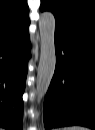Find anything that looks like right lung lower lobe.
<instances>
[{
	"label": "right lung lower lobe",
	"instance_id": "98d812e1",
	"mask_svg": "<svg viewBox=\"0 0 95 130\" xmlns=\"http://www.w3.org/2000/svg\"><path fill=\"white\" fill-rule=\"evenodd\" d=\"M29 48L28 30L0 42V125L11 130H22Z\"/></svg>",
	"mask_w": 95,
	"mask_h": 130
}]
</instances>
